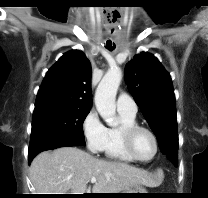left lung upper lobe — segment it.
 <instances>
[{
    "label": "left lung upper lobe",
    "mask_w": 208,
    "mask_h": 198,
    "mask_svg": "<svg viewBox=\"0 0 208 198\" xmlns=\"http://www.w3.org/2000/svg\"><path fill=\"white\" fill-rule=\"evenodd\" d=\"M125 81L161 152L177 166L176 100L169 73L156 57L142 52L126 64Z\"/></svg>",
    "instance_id": "5c2ea615"
}]
</instances>
